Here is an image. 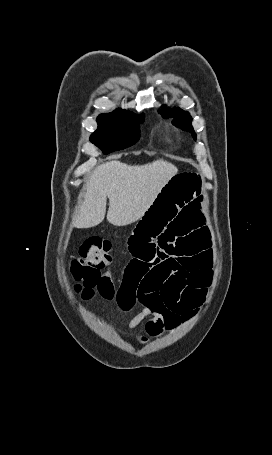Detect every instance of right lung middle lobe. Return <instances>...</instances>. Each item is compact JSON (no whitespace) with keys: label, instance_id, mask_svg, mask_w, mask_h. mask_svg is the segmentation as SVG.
I'll return each mask as SVG.
<instances>
[{"label":"right lung middle lobe","instance_id":"obj_1","mask_svg":"<svg viewBox=\"0 0 272 455\" xmlns=\"http://www.w3.org/2000/svg\"><path fill=\"white\" fill-rule=\"evenodd\" d=\"M144 115H135L130 111L101 114L97 118L98 129L91 135L90 141L104 154L125 149L139 140V127Z\"/></svg>","mask_w":272,"mask_h":455}]
</instances>
